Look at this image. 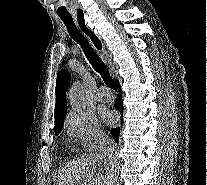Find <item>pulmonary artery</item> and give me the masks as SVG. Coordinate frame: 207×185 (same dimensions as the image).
<instances>
[{
  "instance_id": "obj_1",
  "label": "pulmonary artery",
  "mask_w": 207,
  "mask_h": 185,
  "mask_svg": "<svg viewBox=\"0 0 207 185\" xmlns=\"http://www.w3.org/2000/svg\"><path fill=\"white\" fill-rule=\"evenodd\" d=\"M97 99L99 102H102V103H108L112 100V93L109 92V91H105V90H102V89H99L97 91Z\"/></svg>"
}]
</instances>
